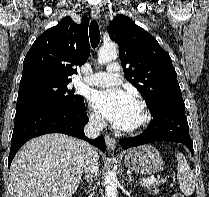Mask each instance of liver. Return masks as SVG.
Instances as JSON below:
<instances>
[{"instance_id": "obj_1", "label": "liver", "mask_w": 209, "mask_h": 197, "mask_svg": "<svg viewBox=\"0 0 209 197\" xmlns=\"http://www.w3.org/2000/svg\"><path fill=\"white\" fill-rule=\"evenodd\" d=\"M84 162L83 141L74 137L54 133L29 140L11 165L17 197H72Z\"/></svg>"}]
</instances>
